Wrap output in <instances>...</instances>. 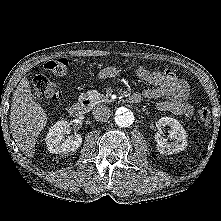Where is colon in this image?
Instances as JSON below:
<instances>
[{
	"mask_svg": "<svg viewBox=\"0 0 221 221\" xmlns=\"http://www.w3.org/2000/svg\"><path fill=\"white\" fill-rule=\"evenodd\" d=\"M69 62L66 58L49 60L44 64V68L56 76H64L67 73ZM34 95L42 100H56L60 96V90L56 84L51 82L44 75H37L32 81ZM198 121L203 128H208L211 121V113L208 107L199 108Z\"/></svg>",
	"mask_w": 221,
	"mask_h": 221,
	"instance_id": "obj_1",
	"label": "colon"
}]
</instances>
